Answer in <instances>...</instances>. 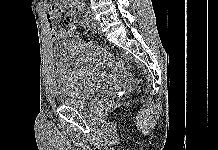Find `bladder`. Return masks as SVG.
<instances>
[{
  "mask_svg": "<svg viewBox=\"0 0 218 150\" xmlns=\"http://www.w3.org/2000/svg\"><path fill=\"white\" fill-rule=\"evenodd\" d=\"M57 64L56 99L67 107L86 108L95 91L99 64H89L79 41H60L54 48Z\"/></svg>",
  "mask_w": 218,
  "mask_h": 150,
  "instance_id": "bladder-1",
  "label": "bladder"
}]
</instances>
